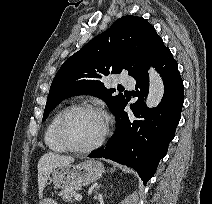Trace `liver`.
Here are the masks:
<instances>
[{
  "instance_id": "6515ba94",
  "label": "liver",
  "mask_w": 212,
  "mask_h": 204,
  "mask_svg": "<svg viewBox=\"0 0 212 204\" xmlns=\"http://www.w3.org/2000/svg\"><path fill=\"white\" fill-rule=\"evenodd\" d=\"M74 162V158L64 156V155H59L56 153H46L44 154L39 162H38V189H39V197H42V193L44 190V187L47 183V180L49 178L50 173L52 172L53 169L63 166V165H68Z\"/></svg>"
}]
</instances>
